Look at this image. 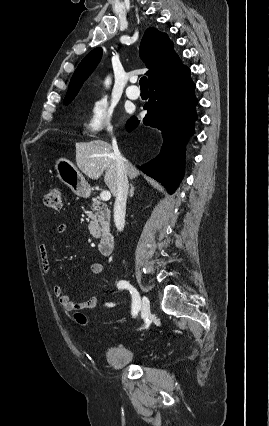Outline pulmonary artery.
<instances>
[{"instance_id":"pulmonary-artery-1","label":"pulmonary artery","mask_w":269,"mask_h":426,"mask_svg":"<svg viewBox=\"0 0 269 426\" xmlns=\"http://www.w3.org/2000/svg\"><path fill=\"white\" fill-rule=\"evenodd\" d=\"M131 85L126 89V95L133 100H136L140 97V90L138 89L137 86H135V79H131L130 80Z\"/></svg>"}]
</instances>
